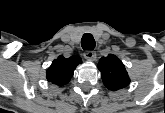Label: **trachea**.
Instances as JSON below:
<instances>
[{
	"label": "trachea",
	"instance_id": "trachea-1",
	"mask_svg": "<svg viewBox=\"0 0 165 113\" xmlns=\"http://www.w3.org/2000/svg\"><path fill=\"white\" fill-rule=\"evenodd\" d=\"M81 45L84 50H93L95 48V40L89 33L83 35Z\"/></svg>",
	"mask_w": 165,
	"mask_h": 113
}]
</instances>
